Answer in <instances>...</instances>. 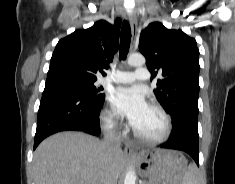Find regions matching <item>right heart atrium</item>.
<instances>
[{
	"instance_id": "1",
	"label": "right heart atrium",
	"mask_w": 235,
	"mask_h": 184,
	"mask_svg": "<svg viewBox=\"0 0 235 184\" xmlns=\"http://www.w3.org/2000/svg\"><path fill=\"white\" fill-rule=\"evenodd\" d=\"M100 118L107 132L113 135H119L121 133L120 122L113 116L110 110H103Z\"/></svg>"
}]
</instances>
